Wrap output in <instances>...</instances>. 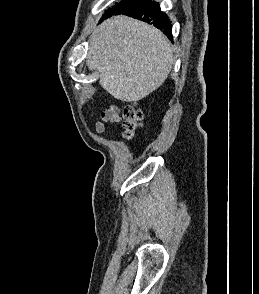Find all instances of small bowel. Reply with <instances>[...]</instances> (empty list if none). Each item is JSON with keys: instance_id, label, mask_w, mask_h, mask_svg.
<instances>
[{"instance_id": "1", "label": "small bowel", "mask_w": 259, "mask_h": 294, "mask_svg": "<svg viewBox=\"0 0 259 294\" xmlns=\"http://www.w3.org/2000/svg\"><path fill=\"white\" fill-rule=\"evenodd\" d=\"M120 121L121 116L119 108L117 106H110L102 113L101 118L95 123V130L99 134L105 133L108 123H118Z\"/></svg>"}]
</instances>
